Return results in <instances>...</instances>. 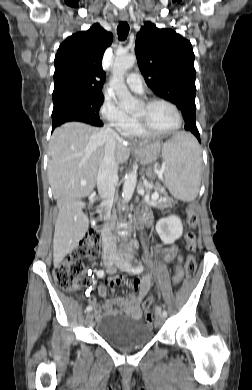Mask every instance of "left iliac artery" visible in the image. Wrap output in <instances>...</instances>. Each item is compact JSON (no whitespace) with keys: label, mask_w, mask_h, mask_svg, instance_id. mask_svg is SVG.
Segmentation results:
<instances>
[{"label":"left iliac artery","mask_w":252,"mask_h":390,"mask_svg":"<svg viewBox=\"0 0 252 390\" xmlns=\"http://www.w3.org/2000/svg\"><path fill=\"white\" fill-rule=\"evenodd\" d=\"M132 271H133L134 273H136V274H139V273H141V272L143 271V266H142V265L137 266V267L133 268ZM163 315H164V316H167V312H166V311H163Z\"/></svg>","instance_id":"1"}]
</instances>
